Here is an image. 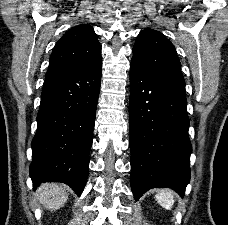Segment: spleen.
Here are the masks:
<instances>
[{"label": "spleen", "mask_w": 228, "mask_h": 225, "mask_svg": "<svg viewBox=\"0 0 228 225\" xmlns=\"http://www.w3.org/2000/svg\"><path fill=\"white\" fill-rule=\"evenodd\" d=\"M155 199L163 209H168L171 211L174 205V193L170 191V189H161L158 191L157 195H155Z\"/></svg>", "instance_id": "1"}]
</instances>
